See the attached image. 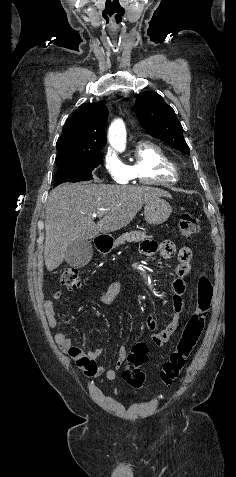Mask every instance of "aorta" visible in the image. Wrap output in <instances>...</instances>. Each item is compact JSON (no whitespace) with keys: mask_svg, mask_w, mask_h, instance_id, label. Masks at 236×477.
Here are the masks:
<instances>
[{"mask_svg":"<svg viewBox=\"0 0 236 477\" xmlns=\"http://www.w3.org/2000/svg\"><path fill=\"white\" fill-rule=\"evenodd\" d=\"M108 140L112 147L123 151L126 147V129L121 119L114 120L108 131Z\"/></svg>","mask_w":236,"mask_h":477,"instance_id":"aorta-1","label":"aorta"}]
</instances>
